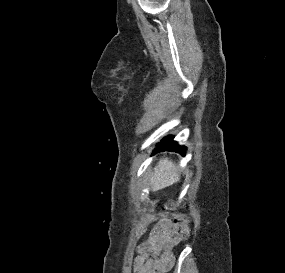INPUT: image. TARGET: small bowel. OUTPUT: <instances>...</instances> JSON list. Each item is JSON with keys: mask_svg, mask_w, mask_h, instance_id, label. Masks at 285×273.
<instances>
[{"mask_svg": "<svg viewBox=\"0 0 285 273\" xmlns=\"http://www.w3.org/2000/svg\"><path fill=\"white\" fill-rule=\"evenodd\" d=\"M180 238L174 223L162 216L151 236L137 248L135 273H165L173 264L172 248Z\"/></svg>", "mask_w": 285, "mask_h": 273, "instance_id": "1", "label": "small bowel"}]
</instances>
